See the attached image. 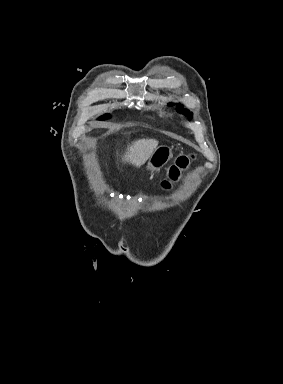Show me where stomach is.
Listing matches in <instances>:
<instances>
[{"label": "stomach", "instance_id": "stomach-1", "mask_svg": "<svg viewBox=\"0 0 283 384\" xmlns=\"http://www.w3.org/2000/svg\"><path fill=\"white\" fill-rule=\"evenodd\" d=\"M172 156L173 152L168 146H159V148H155L146 166L148 172H158V170H161V168L171 160Z\"/></svg>", "mask_w": 283, "mask_h": 384}]
</instances>
